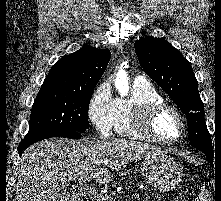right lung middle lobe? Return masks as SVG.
<instances>
[{"mask_svg": "<svg viewBox=\"0 0 221 201\" xmlns=\"http://www.w3.org/2000/svg\"><path fill=\"white\" fill-rule=\"evenodd\" d=\"M93 92L40 90L32 106L28 134L49 129L85 132L89 128L87 110Z\"/></svg>", "mask_w": 221, "mask_h": 201, "instance_id": "dd1d6c3e", "label": "right lung middle lobe"}]
</instances>
